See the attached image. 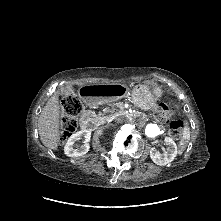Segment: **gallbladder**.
Segmentation results:
<instances>
[{
	"label": "gallbladder",
	"mask_w": 221,
	"mask_h": 221,
	"mask_svg": "<svg viewBox=\"0 0 221 221\" xmlns=\"http://www.w3.org/2000/svg\"><path fill=\"white\" fill-rule=\"evenodd\" d=\"M62 94L64 96H70V95L74 94V90L71 87H65V88L62 89Z\"/></svg>",
	"instance_id": "1"
}]
</instances>
